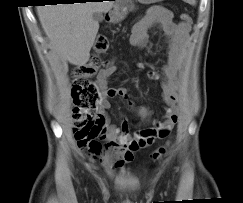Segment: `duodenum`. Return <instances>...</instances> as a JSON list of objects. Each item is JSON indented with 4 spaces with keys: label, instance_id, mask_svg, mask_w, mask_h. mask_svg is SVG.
I'll list each match as a JSON object with an SVG mask.
<instances>
[{
    "label": "duodenum",
    "instance_id": "410a0bca",
    "mask_svg": "<svg viewBox=\"0 0 243 203\" xmlns=\"http://www.w3.org/2000/svg\"><path fill=\"white\" fill-rule=\"evenodd\" d=\"M111 15H112V11H108L106 14V20L107 21H111Z\"/></svg>",
    "mask_w": 243,
    "mask_h": 203
}]
</instances>
